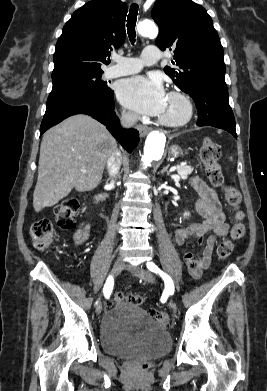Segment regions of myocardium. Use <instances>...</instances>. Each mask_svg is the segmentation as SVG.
<instances>
[{
    "label": "myocardium",
    "instance_id": "f54148a6",
    "mask_svg": "<svg viewBox=\"0 0 267 391\" xmlns=\"http://www.w3.org/2000/svg\"><path fill=\"white\" fill-rule=\"evenodd\" d=\"M168 97L178 99L183 104L184 114L179 119H174V120L160 116L158 118V121L162 125L167 127H172V128L185 126L191 121L194 114V107L191 99L189 98L188 95L178 90L170 91L168 93Z\"/></svg>",
    "mask_w": 267,
    "mask_h": 391
}]
</instances>
